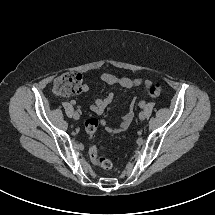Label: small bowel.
I'll return each instance as SVG.
<instances>
[{"label": "small bowel", "mask_w": 215, "mask_h": 215, "mask_svg": "<svg viewBox=\"0 0 215 215\" xmlns=\"http://www.w3.org/2000/svg\"><path fill=\"white\" fill-rule=\"evenodd\" d=\"M101 80L107 85H118L125 89H131L133 87L144 86L148 87L150 82L148 80H143L140 78L131 79L128 77H117L114 74L104 72L101 75ZM89 89L87 84H83V92H87ZM114 99V95L109 93L108 95L101 97V98H93L92 105L90 106V110L97 115H101L105 109L112 103ZM133 118V109L131 110L122 118L120 124L116 128H109L106 126V123L103 122V126L106 131L114 132V133H121L126 132L129 129V126L132 122Z\"/></svg>", "instance_id": "small-bowel-1"}]
</instances>
